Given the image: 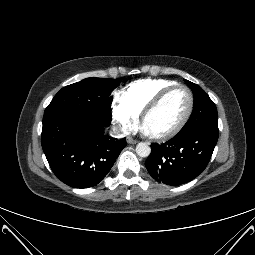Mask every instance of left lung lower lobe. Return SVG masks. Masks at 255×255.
Instances as JSON below:
<instances>
[{
  "label": "left lung lower lobe",
  "mask_w": 255,
  "mask_h": 255,
  "mask_svg": "<svg viewBox=\"0 0 255 255\" xmlns=\"http://www.w3.org/2000/svg\"><path fill=\"white\" fill-rule=\"evenodd\" d=\"M218 134L215 130L178 133L161 145H151L152 152L145 162L149 174L173 186L191 181L209 163Z\"/></svg>",
  "instance_id": "left-lung-lower-lobe-1"
}]
</instances>
